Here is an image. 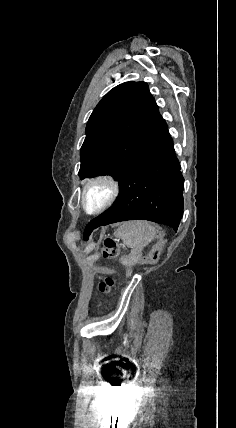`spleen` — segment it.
<instances>
[{
  "instance_id": "obj_1",
  "label": "spleen",
  "mask_w": 236,
  "mask_h": 428,
  "mask_svg": "<svg viewBox=\"0 0 236 428\" xmlns=\"http://www.w3.org/2000/svg\"><path fill=\"white\" fill-rule=\"evenodd\" d=\"M117 238L123 240L124 246L132 248L129 256H122V264L134 266L142 256L145 246L155 238V228L149 222H124L116 232Z\"/></svg>"
}]
</instances>
